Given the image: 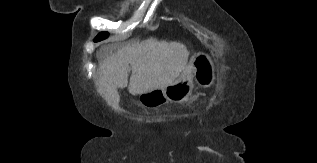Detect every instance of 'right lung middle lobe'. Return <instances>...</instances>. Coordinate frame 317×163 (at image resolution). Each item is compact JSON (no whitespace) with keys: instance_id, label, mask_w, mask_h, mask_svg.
I'll list each match as a JSON object with an SVG mask.
<instances>
[{"instance_id":"obj_1","label":"right lung middle lobe","mask_w":317,"mask_h":163,"mask_svg":"<svg viewBox=\"0 0 317 163\" xmlns=\"http://www.w3.org/2000/svg\"><path fill=\"white\" fill-rule=\"evenodd\" d=\"M109 33L108 32H101L98 34V36L94 39V42H98L101 40H104L108 37Z\"/></svg>"}]
</instances>
